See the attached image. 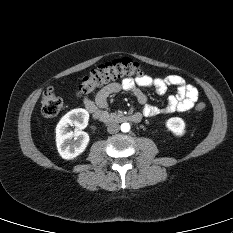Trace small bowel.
Returning <instances> with one entry per match:
<instances>
[{"label": "small bowel", "mask_w": 233, "mask_h": 233, "mask_svg": "<svg viewBox=\"0 0 233 233\" xmlns=\"http://www.w3.org/2000/svg\"><path fill=\"white\" fill-rule=\"evenodd\" d=\"M175 87L176 93L168 96L166 106L159 107L148 103L146 94L142 89L153 88L157 94L163 95L169 87ZM120 91H126L133 94L139 104L144 116L152 117L161 114L183 113L190 110L198 100V90L185 82L179 75H168L163 78H152L148 75H140L135 79L126 78L120 83H110L101 88L94 99L85 97L83 104L87 111L95 118L108 112V98Z\"/></svg>", "instance_id": "small-bowel-1"}]
</instances>
